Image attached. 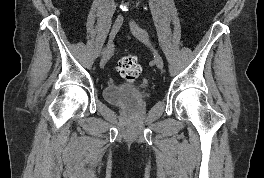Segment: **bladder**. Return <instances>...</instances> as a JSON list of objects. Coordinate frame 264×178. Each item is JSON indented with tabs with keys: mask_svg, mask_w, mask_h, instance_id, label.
<instances>
[{
	"mask_svg": "<svg viewBox=\"0 0 264 178\" xmlns=\"http://www.w3.org/2000/svg\"><path fill=\"white\" fill-rule=\"evenodd\" d=\"M105 101L115 106H131L141 99V88L131 84H110L104 88Z\"/></svg>",
	"mask_w": 264,
	"mask_h": 178,
	"instance_id": "31cf9c89",
	"label": "bladder"
}]
</instances>
